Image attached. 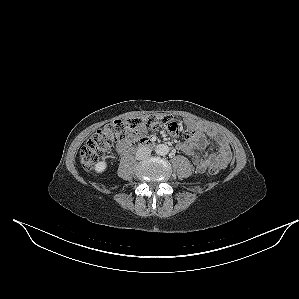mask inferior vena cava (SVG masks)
<instances>
[{
	"instance_id": "602c4592",
	"label": "inferior vena cava",
	"mask_w": 299,
	"mask_h": 299,
	"mask_svg": "<svg viewBox=\"0 0 299 299\" xmlns=\"http://www.w3.org/2000/svg\"><path fill=\"white\" fill-rule=\"evenodd\" d=\"M150 155H151V150L146 146H142L136 152V159L144 160L150 157Z\"/></svg>"
}]
</instances>
